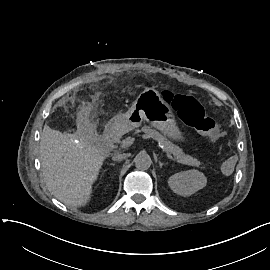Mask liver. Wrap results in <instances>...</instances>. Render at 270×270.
<instances>
[{
    "label": "liver",
    "instance_id": "liver-1",
    "mask_svg": "<svg viewBox=\"0 0 270 270\" xmlns=\"http://www.w3.org/2000/svg\"><path fill=\"white\" fill-rule=\"evenodd\" d=\"M74 141L75 135L45 125L40 138L41 165L48 190L66 205L81 206L90 198L105 155L91 143Z\"/></svg>",
    "mask_w": 270,
    "mask_h": 270
}]
</instances>
